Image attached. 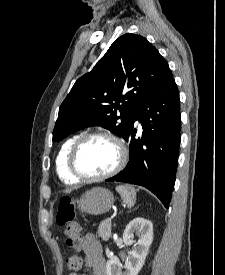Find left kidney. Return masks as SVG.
Here are the masks:
<instances>
[{
    "label": "left kidney",
    "mask_w": 225,
    "mask_h": 275,
    "mask_svg": "<svg viewBox=\"0 0 225 275\" xmlns=\"http://www.w3.org/2000/svg\"><path fill=\"white\" fill-rule=\"evenodd\" d=\"M134 234L139 237L136 247L130 252L129 258L126 260L124 269L121 271L122 265L116 258L107 261V275H137L144 265L149 247L153 240V224L144 218H135L127 226L123 233V240L126 245H132Z\"/></svg>",
    "instance_id": "left-kidney-1"
}]
</instances>
